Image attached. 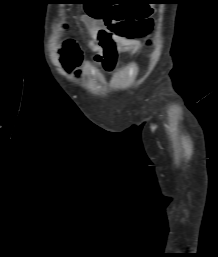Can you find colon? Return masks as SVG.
Wrapping results in <instances>:
<instances>
[{"label": "colon", "mask_w": 218, "mask_h": 257, "mask_svg": "<svg viewBox=\"0 0 218 257\" xmlns=\"http://www.w3.org/2000/svg\"><path fill=\"white\" fill-rule=\"evenodd\" d=\"M81 10H89L91 17L103 19L111 31L128 38L146 36L154 24L151 5H81ZM62 54L69 65L82 60V52L72 40L65 43Z\"/></svg>", "instance_id": "1"}]
</instances>
